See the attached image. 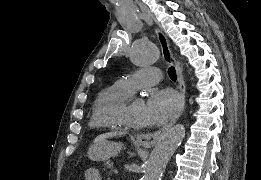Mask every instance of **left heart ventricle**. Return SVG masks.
<instances>
[{
    "label": "left heart ventricle",
    "instance_id": "left-heart-ventricle-1",
    "mask_svg": "<svg viewBox=\"0 0 261 180\" xmlns=\"http://www.w3.org/2000/svg\"><path fill=\"white\" fill-rule=\"evenodd\" d=\"M120 117L126 125L138 132H145L152 125L144 113V102L138 97L129 100L126 110Z\"/></svg>",
    "mask_w": 261,
    "mask_h": 180
}]
</instances>
